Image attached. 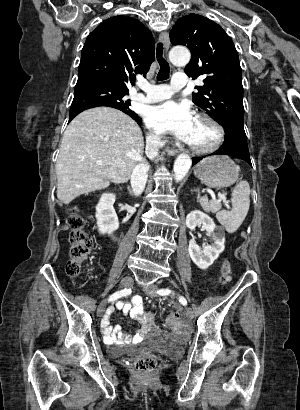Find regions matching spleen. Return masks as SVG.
<instances>
[{
  "instance_id": "1",
  "label": "spleen",
  "mask_w": 300,
  "mask_h": 410,
  "mask_svg": "<svg viewBox=\"0 0 300 410\" xmlns=\"http://www.w3.org/2000/svg\"><path fill=\"white\" fill-rule=\"evenodd\" d=\"M250 187L245 180L239 182L231 196L232 210H221V203L210 202V210L216 213V218L228 233H234L244 221L250 206Z\"/></svg>"
}]
</instances>
